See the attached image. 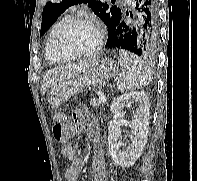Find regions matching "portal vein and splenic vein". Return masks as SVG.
<instances>
[{"label":"portal vein and splenic vein","mask_w":197,"mask_h":181,"mask_svg":"<svg viewBox=\"0 0 197 181\" xmlns=\"http://www.w3.org/2000/svg\"><path fill=\"white\" fill-rule=\"evenodd\" d=\"M99 98L101 99L102 102H106L107 101L106 96L104 94H101L99 96Z\"/></svg>","instance_id":"obj_1"}]
</instances>
